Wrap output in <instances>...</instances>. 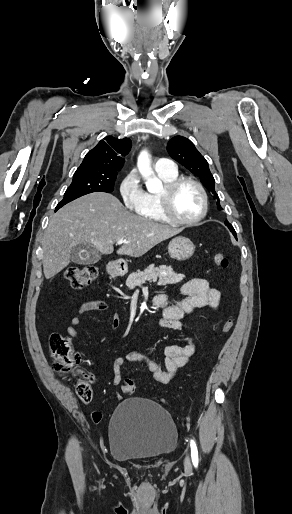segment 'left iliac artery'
I'll return each instance as SVG.
<instances>
[{
  "label": "left iliac artery",
  "mask_w": 292,
  "mask_h": 514,
  "mask_svg": "<svg viewBox=\"0 0 292 514\" xmlns=\"http://www.w3.org/2000/svg\"><path fill=\"white\" fill-rule=\"evenodd\" d=\"M191 458L195 467L198 466V449L193 439L190 440Z\"/></svg>",
  "instance_id": "44dca946"
}]
</instances>
